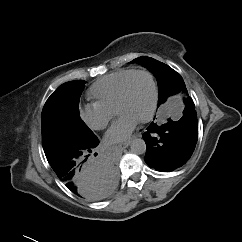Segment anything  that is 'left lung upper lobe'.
Returning a JSON list of instances; mask_svg holds the SVG:
<instances>
[{
  "instance_id": "1",
  "label": "left lung upper lobe",
  "mask_w": 242,
  "mask_h": 242,
  "mask_svg": "<svg viewBox=\"0 0 242 242\" xmlns=\"http://www.w3.org/2000/svg\"><path fill=\"white\" fill-rule=\"evenodd\" d=\"M131 62L144 65L155 75L159 88L158 106L171 95L187 92L181 75L168 65L151 57H139Z\"/></svg>"
}]
</instances>
